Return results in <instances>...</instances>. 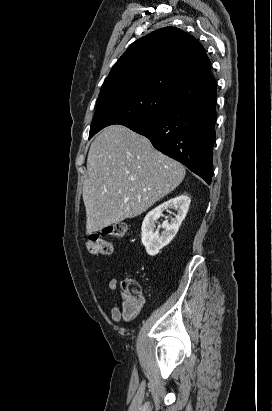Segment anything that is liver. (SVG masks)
I'll use <instances>...</instances> for the list:
<instances>
[{
    "label": "liver",
    "mask_w": 272,
    "mask_h": 411,
    "mask_svg": "<svg viewBox=\"0 0 272 411\" xmlns=\"http://www.w3.org/2000/svg\"><path fill=\"white\" fill-rule=\"evenodd\" d=\"M185 168L126 126L103 129L91 143L83 184L86 232L134 218L173 191Z\"/></svg>",
    "instance_id": "liver-1"
}]
</instances>
